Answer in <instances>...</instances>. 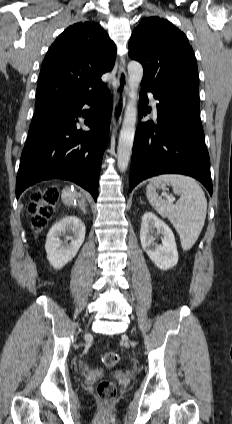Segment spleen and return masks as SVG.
Listing matches in <instances>:
<instances>
[{
    "instance_id": "1",
    "label": "spleen",
    "mask_w": 232,
    "mask_h": 424,
    "mask_svg": "<svg viewBox=\"0 0 232 424\" xmlns=\"http://www.w3.org/2000/svg\"><path fill=\"white\" fill-rule=\"evenodd\" d=\"M155 181L171 184L173 192L180 195L175 205L158 196ZM146 195L151 206L172 223L180 236L183 250L191 249L201 233L207 213V200L197 181L185 175H161L147 185Z\"/></svg>"
}]
</instances>
